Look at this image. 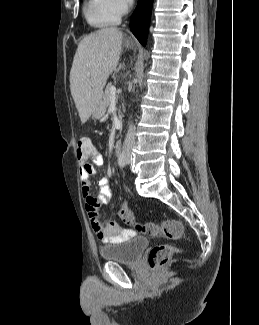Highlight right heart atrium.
<instances>
[{"mask_svg": "<svg viewBox=\"0 0 259 325\" xmlns=\"http://www.w3.org/2000/svg\"><path fill=\"white\" fill-rule=\"evenodd\" d=\"M110 10L118 17L124 15L131 6L132 0H107Z\"/></svg>", "mask_w": 259, "mask_h": 325, "instance_id": "d8ad5b80", "label": "right heart atrium"}]
</instances>
